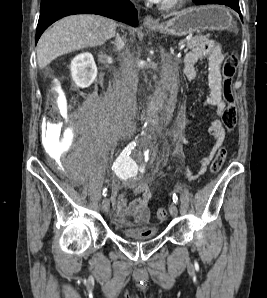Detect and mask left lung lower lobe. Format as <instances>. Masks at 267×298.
I'll return each instance as SVG.
<instances>
[{
  "instance_id": "0a47b994",
  "label": "left lung lower lobe",
  "mask_w": 267,
  "mask_h": 298,
  "mask_svg": "<svg viewBox=\"0 0 267 298\" xmlns=\"http://www.w3.org/2000/svg\"><path fill=\"white\" fill-rule=\"evenodd\" d=\"M197 5H204V4H221L229 6L230 8L237 11L242 19L241 11L239 8V1L238 0H200L194 2Z\"/></svg>"
}]
</instances>
